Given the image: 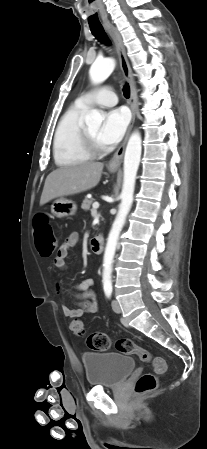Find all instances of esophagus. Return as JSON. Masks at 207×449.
Wrapping results in <instances>:
<instances>
[{
  "label": "esophagus",
  "instance_id": "34e87169",
  "mask_svg": "<svg viewBox=\"0 0 207 449\" xmlns=\"http://www.w3.org/2000/svg\"><path fill=\"white\" fill-rule=\"evenodd\" d=\"M105 29L107 30V32L109 33V35L111 36V38L113 39V41L115 43L117 55H118V58H119L120 67L122 69L124 77L129 82L130 88H131V94H130V99H129V104H130L131 113H132L131 123H130V125L128 127V130H127V133H126V136H125V139H124L123 143L117 149V151L114 153L113 157L111 158V160L108 163V167L109 168H117V167H119L121 165L122 158H123V155H124L125 146H126V142H127V139L129 137L130 131L132 129V126H133V123H134V120H135L136 84H135V81H134L132 70L130 68V65H129V62H128V59H127L125 46L123 44L122 38L120 36V33L118 32L117 28L114 25H112V24H105Z\"/></svg>",
  "mask_w": 207,
  "mask_h": 449
}]
</instances>
